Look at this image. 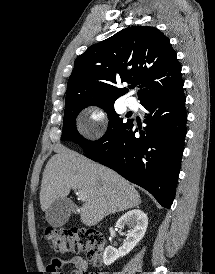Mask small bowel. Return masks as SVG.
I'll return each mask as SVG.
<instances>
[{"label":"small bowel","mask_w":215,"mask_h":274,"mask_svg":"<svg viewBox=\"0 0 215 274\" xmlns=\"http://www.w3.org/2000/svg\"><path fill=\"white\" fill-rule=\"evenodd\" d=\"M70 266L74 269L75 274H95L89 272L87 260L80 255L69 258L52 257L46 270L51 274H64L60 271L61 268ZM96 274H107L105 272Z\"/></svg>","instance_id":"small-bowel-1"}]
</instances>
